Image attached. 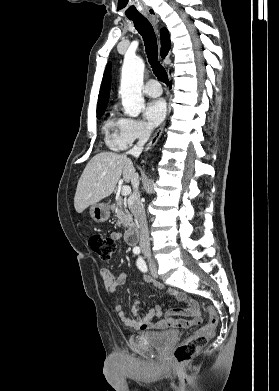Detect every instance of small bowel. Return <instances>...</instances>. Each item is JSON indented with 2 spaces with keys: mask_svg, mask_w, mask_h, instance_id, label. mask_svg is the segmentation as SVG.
<instances>
[{
  "mask_svg": "<svg viewBox=\"0 0 279 391\" xmlns=\"http://www.w3.org/2000/svg\"><path fill=\"white\" fill-rule=\"evenodd\" d=\"M120 233L113 232L110 237L114 240H118L120 238ZM100 276L103 282V285L106 289V292L113 296L115 293V289L117 286L123 285L126 281V276L123 273H112L107 268H102L100 270ZM145 282L152 285L156 289L166 292L171 295L176 300L183 302L187 305V308L184 310L180 309H172L166 312L165 319L160 320L158 322H153L154 319L160 318L163 315L162 308L160 306H155L149 311L139 314L138 306L140 304L139 300H136L132 306V315L133 317H129L122 309L121 304L114 300L113 306L115 311L118 314L121 322L131 328L137 330H148V329H167V328H183L190 329L193 328L203 322V317L201 313V309L198 303L184 294L175 289H168L160 282L146 277ZM187 317V319L183 318Z\"/></svg>",
  "mask_w": 279,
  "mask_h": 391,
  "instance_id": "obj_1",
  "label": "small bowel"
}]
</instances>
